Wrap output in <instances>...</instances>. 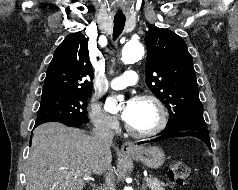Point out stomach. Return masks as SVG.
Wrapping results in <instances>:
<instances>
[{
    "label": "stomach",
    "instance_id": "1",
    "mask_svg": "<svg viewBox=\"0 0 238 190\" xmlns=\"http://www.w3.org/2000/svg\"><path fill=\"white\" fill-rule=\"evenodd\" d=\"M127 155L152 169L160 168L165 161L164 152L156 146L139 147L137 151L128 153Z\"/></svg>",
    "mask_w": 238,
    "mask_h": 190
}]
</instances>
